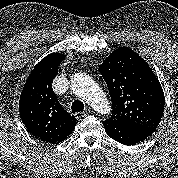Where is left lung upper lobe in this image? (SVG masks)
<instances>
[{
    "mask_svg": "<svg viewBox=\"0 0 178 178\" xmlns=\"http://www.w3.org/2000/svg\"><path fill=\"white\" fill-rule=\"evenodd\" d=\"M99 70L112 101L109 119L156 129L163 116L165 97L147 62L122 47L113 51Z\"/></svg>",
    "mask_w": 178,
    "mask_h": 178,
    "instance_id": "1",
    "label": "left lung upper lobe"
}]
</instances>
